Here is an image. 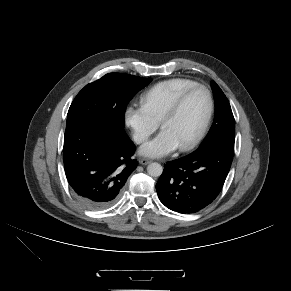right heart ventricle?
Masks as SVG:
<instances>
[{"mask_svg": "<svg viewBox=\"0 0 291 291\" xmlns=\"http://www.w3.org/2000/svg\"><path fill=\"white\" fill-rule=\"evenodd\" d=\"M195 84H197L195 81L187 78L160 81L141 95V104L156 121L160 122L163 114L177 96Z\"/></svg>", "mask_w": 291, "mask_h": 291, "instance_id": "1", "label": "right heart ventricle"}]
</instances>
